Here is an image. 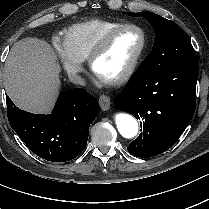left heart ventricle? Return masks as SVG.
I'll return each instance as SVG.
<instances>
[{
    "label": "left heart ventricle",
    "mask_w": 209,
    "mask_h": 209,
    "mask_svg": "<svg viewBox=\"0 0 209 209\" xmlns=\"http://www.w3.org/2000/svg\"><path fill=\"white\" fill-rule=\"evenodd\" d=\"M140 45L139 31L129 29L118 32L95 64L97 74L107 78L121 74L131 62Z\"/></svg>",
    "instance_id": "b2bd125f"
}]
</instances>
